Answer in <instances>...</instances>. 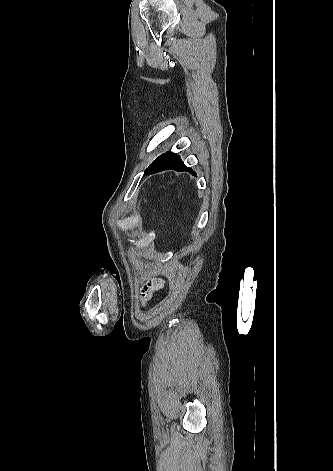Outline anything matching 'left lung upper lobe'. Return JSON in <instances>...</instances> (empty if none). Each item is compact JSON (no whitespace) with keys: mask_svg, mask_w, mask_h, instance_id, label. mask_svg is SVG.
<instances>
[{"mask_svg":"<svg viewBox=\"0 0 333 471\" xmlns=\"http://www.w3.org/2000/svg\"><path fill=\"white\" fill-rule=\"evenodd\" d=\"M175 156L173 152H166L161 156L157 157L155 161H153L149 167L145 170L144 174H154L157 172H161L164 170H168V164L170 160Z\"/></svg>","mask_w":333,"mask_h":471,"instance_id":"1","label":"left lung upper lobe"}]
</instances>
